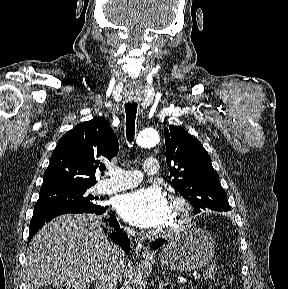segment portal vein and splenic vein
<instances>
[{"instance_id":"1","label":"portal vein and splenic vein","mask_w":288,"mask_h":289,"mask_svg":"<svg viewBox=\"0 0 288 289\" xmlns=\"http://www.w3.org/2000/svg\"><path fill=\"white\" fill-rule=\"evenodd\" d=\"M204 276H207V273H205ZM199 279H200V274H196L195 280H199Z\"/></svg>"}]
</instances>
